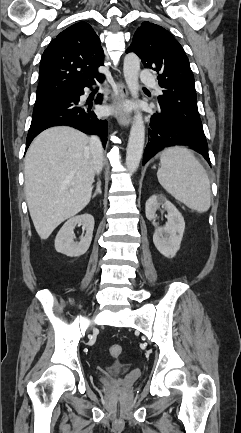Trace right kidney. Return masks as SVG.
Segmentation results:
<instances>
[{"instance_id":"right-kidney-1","label":"right kidney","mask_w":241,"mask_h":433,"mask_svg":"<svg viewBox=\"0 0 241 433\" xmlns=\"http://www.w3.org/2000/svg\"><path fill=\"white\" fill-rule=\"evenodd\" d=\"M81 224L86 230L80 242H74V228ZM94 218L91 214H82L70 218L60 229L55 238V249L69 257H79L87 252L92 241Z\"/></svg>"}]
</instances>
